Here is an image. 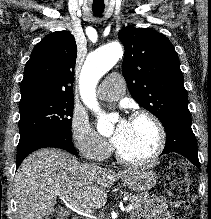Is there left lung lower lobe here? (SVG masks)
Listing matches in <instances>:
<instances>
[{
  "instance_id": "1",
  "label": "left lung lower lobe",
  "mask_w": 211,
  "mask_h": 219,
  "mask_svg": "<svg viewBox=\"0 0 211 219\" xmlns=\"http://www.w3.org/2000/svg\"><path fill=\"white\" fill-rule=\"evenodd\" d=\"M191 116H176L164 126L166 144L163 154L175 152L185 156L195 166L200 168L195 135L191 129Z\"/></svg>"
}]
</instances>
